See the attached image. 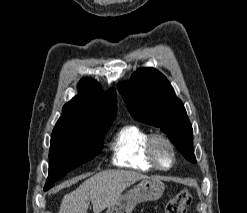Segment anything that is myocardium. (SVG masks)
Here are the masks:
<instances>
[{
	"mask_svg": "<svg viewBox=\"0 0 247 213\" xmlns=\"http://www.w3.org/2000/svg\"><path fill=\"white\" fill-rule=\"evenodd\" d=\"M164 144L170 152V163L168 165H164L161 163L158 154H157V145ZM146 153L150 160V162L159 170L167 171L170 170L176 163V150L172 141L162 134H154L151 135L147 141L146 145Z\"/></svg>",
	"mask_w": 247,
	"mask_h": 213,
	"instance_id": "1",
	"label": "myocardium"
}]
</instances>
